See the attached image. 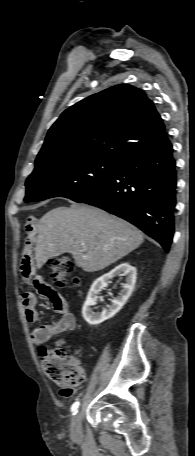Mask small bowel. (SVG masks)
Masks as SVG:
<instances>
[{
    "mask_svg": "<svg viewBox=\"0 0 195 456\" xmlns=\"http://www.w3.org/2000/svg\"><path fill=\"white\" fill-rule=\"evenodd\" d=\"M36 226L37 222L35 218H27L24 225L26 242L20 266L21 275L25 280H30L33 277V286L36 291L49 299L52 302L55 311L60 314L58 319L33 329L31 333L33 343L42 345L60 333L74 330L77 327V320L75 315L69 311L65 298L49 285L42 276H34L31 248L35 241ZM21 301L24 308L25 319L29 323H34L38 318L36 295L31 291H26L22 294ZM64 342L65 339L62 338L59 339L56 344L61 345ZM74 393L75 390L72 388H63L60 390V395L63 397H71Z\"/></svg>",
    "mask_w": 195,
    "mask_h": 456,
    "instance_id": "c3829d8e",
    "label": "small bowel"
}]
</instances>
